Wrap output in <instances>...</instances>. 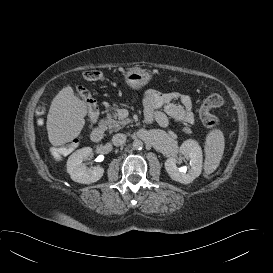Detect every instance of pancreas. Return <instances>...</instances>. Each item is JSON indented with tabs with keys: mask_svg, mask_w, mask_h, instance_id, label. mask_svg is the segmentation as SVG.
Returning a JSON list of instances; mask_svg holds the SVG:
<instances>
[{
	"mask_svg": "<svg viewBox=\"0 0 273 273\" xmlns=\"http://www.w3.org/2000/svg\"><path fill=\"white\" fill-rule=\"evenodd\" d=\"M103 122L111 132H116L122 129L126 124L130 123L131 120L129 118H121L117 113H112L108 114ZM182 130L185 133H191V129L189 127H184Z\"/></svg>",
	"mask_w": 273,
	"mask_h": 273,
	"instance_id": "1",
	"label": "pancreas"
}]
</instances>
